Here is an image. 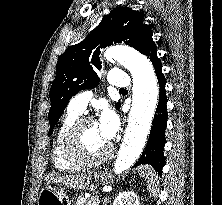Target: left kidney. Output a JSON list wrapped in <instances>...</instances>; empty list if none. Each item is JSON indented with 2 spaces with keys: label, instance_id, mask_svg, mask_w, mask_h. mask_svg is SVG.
<instances>
[{
  "label": "left kidney",
  "instance_id": "5707ae66",
  "mask_svg": "<svg viewBox=\"0 0 222 205\" xmlns=\"http://www.w3.org/2000/svg\"><path fill=\"white\" fill-rule=\"evenodd\" d=\"M112 205H140L134 192H122L114 200Z\"/></svg>",
  "mask_w": 222,
  "mask_h": 205
}]
</instances>
